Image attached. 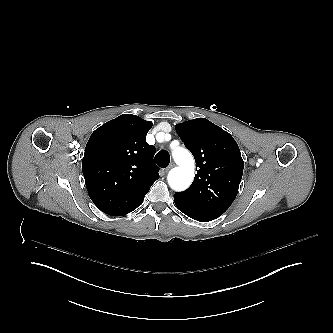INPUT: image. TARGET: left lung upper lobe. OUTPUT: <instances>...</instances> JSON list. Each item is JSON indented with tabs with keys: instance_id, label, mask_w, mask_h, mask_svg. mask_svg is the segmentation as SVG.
I'll return each mask as SVG.
<instances>
[{
	"instance_id": "1",
	"label": "left lung upper lobe",
	"mask_w": 333,
	"mask_h": 333,
	"mask_svg": "<svg viewBox=\"0 0 333 333\" xmlns=\"http://www.w3.org/2000/svg\"><path fill=\"white\" fill-rule=\"evenodd\" d=\"M176 131L198 168L191 186L175 194L194 204L226 211L236 198L244 168L236 141L205 118L178 124Z\"/></svg>"
}]
</instances>
